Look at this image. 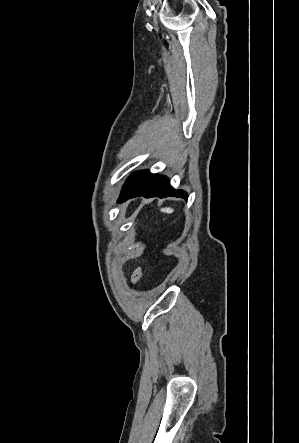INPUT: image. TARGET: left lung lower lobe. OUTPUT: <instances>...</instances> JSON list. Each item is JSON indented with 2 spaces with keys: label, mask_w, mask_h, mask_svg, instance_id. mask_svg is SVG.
Instances as JSON below:
<instances>
[{
  "label": "left lung lower lobe",
  "mask_w": 299,
  "mask_h": 443,
  "mask_svg": "<svg viewBox=\"0 0 299 443\" xmlns=\"http://www.w3.org/2000/svg\"><path fill=\"white\" fill-rule=\"evenodd\" d=\"M144 196L146 198L158 196H176L187 199L188 195L182 190H174L167 177L151 174L148 170L133 173L125 182L118 203L127 199Z\"/></svg>",
  "instance_id": "0a47b994"
}]
</instances>
